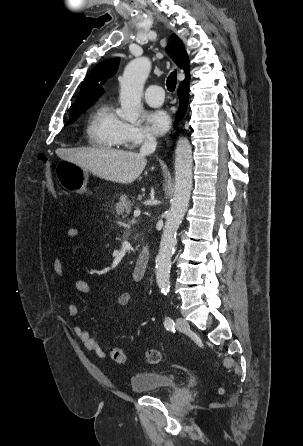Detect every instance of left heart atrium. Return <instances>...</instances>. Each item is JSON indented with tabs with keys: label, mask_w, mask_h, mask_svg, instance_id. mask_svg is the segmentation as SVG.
<instances>
[{
	"label": "left heart atrium",
	"mask_w": 303,
	"mask_h": 446,
	"mask_svg": "<svg viewBox=\"0 0 303 446\" xmlns=\"http://www.w3.org/2000/svg\"><path fill=\"white\" fill-rule=\"evenodd\" d=\"M145 119L150 131L157 135L164 134L170 126V117L164 110H152L146 113Z\"/></svg>",
	"instance_id": "39dd6f15"
}]
</instances>
